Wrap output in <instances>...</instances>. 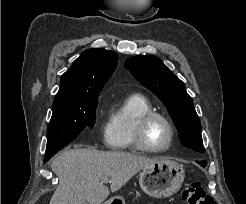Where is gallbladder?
Wrapping results in <instances>:
<instances>
[{"instance_id":"obj_1","label":"gallbladder","mask_w":246,"mask_h":204,"mask_svg":"<svg viewBox=\"0 0 246 204\" xmlns=\"http://www.w3.org/2000/svg\"><path fill=\"white\" fill-rule=\"evenodd\" d=\"M83 204H89V203H87V202H84Z\"/></svg>"}]
</instances>
